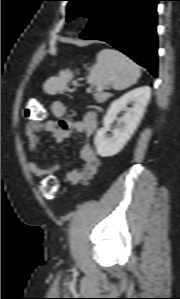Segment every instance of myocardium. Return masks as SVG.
I'll use <instances>...</instances> for the list:
<instances>
[{
	"mask_svg": "<svg viewBox=\"0 0 180 299\" xmlns=\"http://www.w3.org/2000/svg\"><path fill=\"white\" fill-rule=\"evenodd\" d=\"M81 18H82V14H79V15L77 16V19L80 20Z\"/></svg>",
	"mask_w": 180,
	"mask_h": 299,
	"instance_id": "1",
	"label": "myocardium"
}]
</instances>
